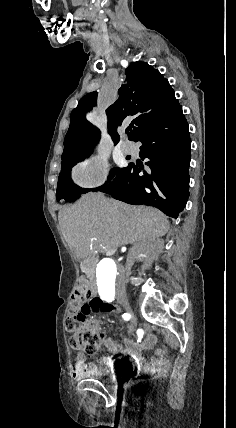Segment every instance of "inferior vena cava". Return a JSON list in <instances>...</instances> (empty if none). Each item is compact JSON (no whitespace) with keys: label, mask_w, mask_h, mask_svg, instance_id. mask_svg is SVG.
<instances>
[{"label":"inferior vena cava","mask_w":236,"mask_h":428,"mask_svg":"<svg viewBox=\"0 0 236 428\" xmlns=\"http://www.w3.org/2000/svg\"><path fill=\"white\" fill-rule=\"evenodd\" d=\"M125 268L122 265H117V270H119L120 274L117 280L118 286L116 287V295L119 298H123L126 295L125 292V283H124V276H125Z\"/></svg>","instance_id":"1"}]
</instances>
